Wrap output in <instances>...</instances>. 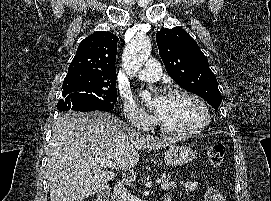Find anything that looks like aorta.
<instances>
[{
  "label": "aorta",
  "mask_w": 271,
  "mask_h": 201,
  "mask_svg": "<svg viewBox=\"0 0 271 201\" xmlns=\"http://www.w3.org/2000/svg\"><path fill=\"white\" fill-rule=\"evenodd\" d=\"M151 53V42L145 34L135 36L124 50L123 66L128 73L138 72ZM144 97H149L148 92L143 93Z\"/></svg>",
  "instance_id": "1"
}]
</instances>
